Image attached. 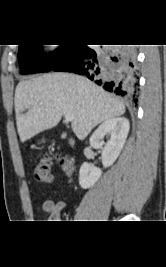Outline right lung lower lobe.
<instances>
[{
	"label": "right lung lower lobe",
	"mask_w": 166,
	"mask_h": 267,
	"mask_svg": "<svg viewBox=\"0 0 166 267\" xmlns=\"http://www.w3.org/2000/svg\"><path fill=\"white\" fill-rule=\"evenodd\" d=\"M134 63L132 47L101 51L76 44L70 46L65 57L51 70L86 75L108 92L130 99L135 97L138 86Z\"/></svg>",
	"instance_id": "right-lung-lower-lobe-1"
}]
</instances>
